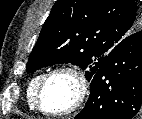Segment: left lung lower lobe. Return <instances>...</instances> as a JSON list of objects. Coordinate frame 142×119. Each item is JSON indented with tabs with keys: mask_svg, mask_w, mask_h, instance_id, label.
<instances>
[{
	"mask_svg": "<svg viewBox=\"0 0 142 119\" xmlns=\"http://www.w3.org/2000/svg\"><path fill=\"white\" fill-rule=\"evenodd\" d=\"M91 94L75 119L142 117V30L121 40L91 79Z\"/></svg>",
	"mask_w": 142,
	"mask_h": 119,
	"instance_id": "0a47b994",
	"label": "left lung lower lobe"
}]
</instances>
